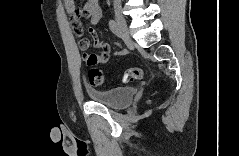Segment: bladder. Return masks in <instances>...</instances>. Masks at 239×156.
Segmentation results:
<instances>
[{"mask_svg":"<svg viewBox=\"0 0 239 156\" xmlns=\"http://www.w3.org/2000/svg\"><path fill=\"white\" fill-rule=\"evenodd\" d=\"M92 101L114 109H121L131 104L135 96V88L131 86L117 87L106 90L86 89Z\"/></svg>","mask_w":239,"mask_h":156,"instance_id":"1","label":"bladder"}]
</instances>
